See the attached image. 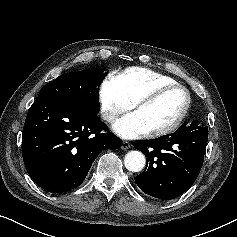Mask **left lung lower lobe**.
<instances>
[{"label":"left lung lower lobe","instance_id":"left-lung-lower-lobe-1","mask_svg":"<svg viewBox=\"0 0 237 237\" xmlns=\"http://www.w3.org/2000/svg\"><path fill=\"white\" fill-rule=\"evenodd\" d=\"M208 126L184 122L174 133L138 140L134 147L147 157L145 170L135 182L146 194L169 200L187 191L204 161Z\"/></svg>","mask_w":237,"mask_h":237}]
</instances>
